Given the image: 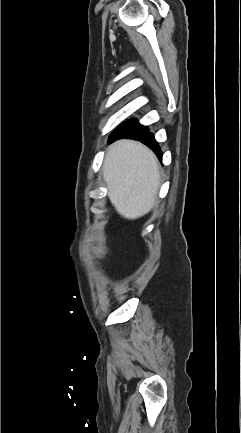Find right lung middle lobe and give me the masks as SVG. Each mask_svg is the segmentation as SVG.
Listing matches in <instances>:
<instances>
[{"instance_id": "right-lung-middle-lobe-1", "label": "right lung middle lobe", "mask_w": 241, "mask_h": 433, "mask_svg": "<svg viewBox=\"0 0 241 433\" xmlns=\"http://www.w3.org/2000/svg\"><path fill=\"white\" fill-rule=\"evenodd\" d=\"M135 122H136V120L133 119V120H130V121L124 123V124L121 125L119 128H117V129H116V130H115L111 135L119 134V133H122V132L126 131V130H127L131 125H133Z\"/></svg>"}]
</instances>
